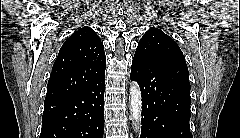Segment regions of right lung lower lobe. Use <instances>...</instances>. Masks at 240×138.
<instances>
[{
	"label": "right lung lower lobe",
	"mask_w": 240,
	"mask_h": 138,
	"mask_svg": "<svg viewBox=\"0 0 240 138\" xmlns=\"http://www.w3.org/2000/svg\"><path fill=\"white\" fill-rule=\"evenodd\" d=\"M104 80L45 100L40 138H103Z\"/></svg>",
	"instance_id": "98d812e1"
}]
</instances>
